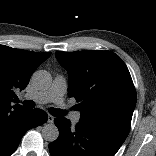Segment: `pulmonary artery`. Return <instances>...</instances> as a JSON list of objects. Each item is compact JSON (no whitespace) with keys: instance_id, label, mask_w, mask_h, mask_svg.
Here are the masks:
<instances>
[{"instance_id":"obj_1","label":"pulmonary artery","mask_w":156,"mask_h":156,"mask_svg":"<svg viewBox=\"0 0 156 156\" xmlns=\"http://www.w3.org/2000/svg\"><path fill=\"white\" fill-rule=\"evenodd\" d=\"M67 91V82L63 76H56L51 86L44 91L37 92L30 97L39 103L53 102L60 107L66 108L64 103V95ZM80 112H74L71 114V121L78 123L80 121Z\"/></svg>"}]
</instances>
